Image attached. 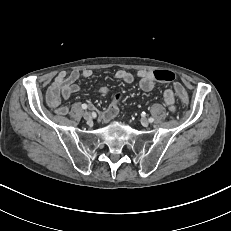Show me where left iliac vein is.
Here are the masks:
<instances>
[{
	"label": "left iliac vein",
	"instance_id": "1",
	"mask_svg": "<svg viewBox=\"0 0 231 231\" xmlns=\"http://www.w3.org/2000/svg\"><path fill=\"white\" fill-rule=\"evenodd\" d=\"M141 124L144 126V127H147L149 125V120H147L146 118H142L141 119Z\"/></svg>",
	"mask_w": 231,
	"mask_h": 231
}]
</instances>
